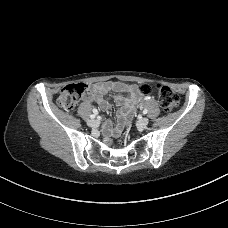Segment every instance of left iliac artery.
<instances>
[{"label":"left iliac artery","mask_w":228,"mask_h":228,"mask_svg":"<svg viewBox=\"0 0 228 228\" xmlns=\"http://www.w3.org/2000/svg\"><path fill=\"white\" fill-rule=\"evenodd\" d=\"M148 113V110L147 109H144L143 110V114H147Z\"/></svg>","instance_id":"44dca946"}]
</instances>
